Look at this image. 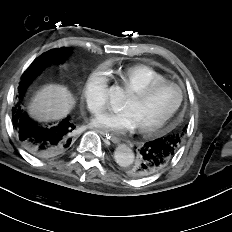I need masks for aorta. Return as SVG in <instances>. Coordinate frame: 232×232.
<instances>
[{
	"mask_svg": "<svg viewBox=\"0 0 232 232\" xmlns=\"http://www.w3.org/2000/svg\"><path fill=\"white\" fill-rule=\"evenodd\" d=\"M109 98L112 108L119 111L123 108L125 103L124 91L119 86H112L109 89ZM114 158L118 165L127 167L134 161V153L130 147L125 144H120L114 151Z\"/></svg>",
	"mask_w": 232,
	"mask_h": 232,
	"instance_id": "obj_1",
	"label": "aorta"
}]
</instances>
